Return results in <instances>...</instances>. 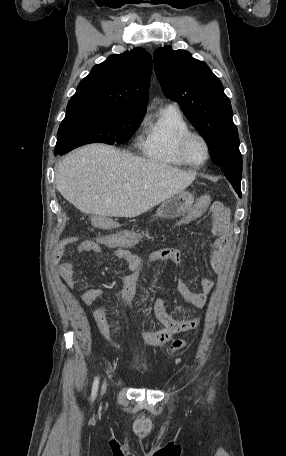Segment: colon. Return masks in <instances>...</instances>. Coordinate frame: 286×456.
Wrapping results in <instances>:
<instances>
[{"mask_svg": "<svg viewBox=\"0 0 286 456\" xmlns=\"http://www.w3.org/2000/svg\"><path fill=\"white\" fill-rule=\"evenodd\" d=\"M198 203H199L200 205H209V204H211V206H213L215 209L220 208V203H219V202H213V203H212V202H211V199H210V196H208V195L202 196V197L199 199V202H198ZM72 238H74V237H72ZM104 239H105V241H106L107 243H111V242L113 241V238L110 237V236H105ZM182 344H183L182 341L176 340V341L173 343L172 348H179V347L182 346Z\"/></svg>", "mask_w": 286, "mask_h": 456, "instance_id": "1", "label": "colon"}]
</instances>
